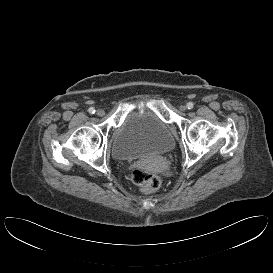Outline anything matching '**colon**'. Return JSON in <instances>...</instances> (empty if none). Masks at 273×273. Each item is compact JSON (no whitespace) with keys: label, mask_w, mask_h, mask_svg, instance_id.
<instances>
[{"label":"colon","mask_w":273,"mask_h":273,"mask_svg":"<svg viewBox=\"0 0 273 273\" xmlns=\"http://www.w3.org/2000/svg\"><path fill=\"white\" fill-rule=\"evenodd\" d=\"M131 180L145 194L156 191L162 183L161 178L157 174L150 173L140 168L133 170Z\"/></svg>","instance_id":"1"}]
</instances>
